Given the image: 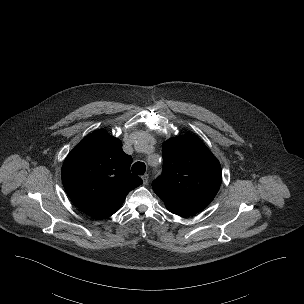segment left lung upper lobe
Instances as JSON below:
<instances>
[{
    "label": "left lung upper lobe",
    "instance_id": "left-lung-upper-lobe-1",
    "mask_svg": "<svg viewBox=\"0 0 304 304\" xmlns=\"http://www.w3.org/2000/svg\"><path fill=\"white\" fill-rule=\"evenodd\" d=\"M163 174L154 192L175 214L190 216L216 196L222 181L219 161L195 135L168 139L162 146Z\"/></svg>",
    "mask_w": 304,
    "mask_h": 304
}]
</instances>
